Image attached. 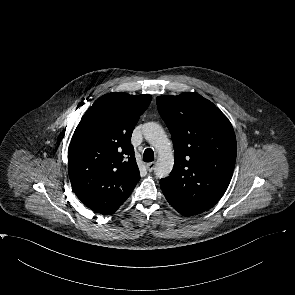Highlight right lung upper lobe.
Here are the masks:
<instances>
[{
    "instance_id": "1",
    "label": "right lung upper lobe",
    "mask_w": 295,
    "mask_h": 295,
    "mask_svg": "<svg viewBox=\"0 0 295 295\" xmlns=\"http://www.w3.org/2000/svg\"><path fill=\"white\" fill-rule=\"evenodd\" d=\"M151 99L111 92L81 118L68 149V172L75 194L91 210L114 213L139 181L131 135Z\"/></svg>"
}]
</instances>
